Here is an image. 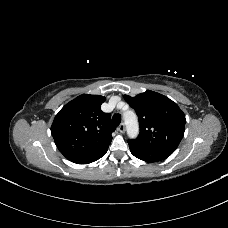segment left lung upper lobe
Segmentation results:
<instances>
[{
	"label": "left lung upper lobe",
	"mask_w": 228,
	"mask_h": 228,
	"mask_svg": "<svg viewBox=\"0 0 228 228\" xmlns=\"http://www.w3.org/2000/svg\"><path fill=\"white\" fill-rule=\"evenodd\" d=\"M139 117L140 134L128 144L142 149L173 153L185 130V115L168 97L147 90L135 97L124 95Z\"/></svg>",
	"instance_id": "left-lung-upper-lobe-1"
}]
</instances>
